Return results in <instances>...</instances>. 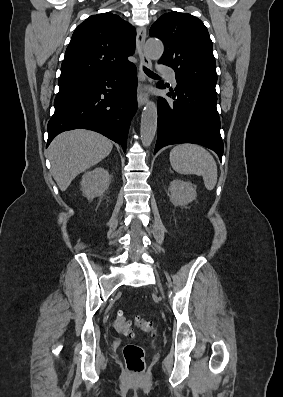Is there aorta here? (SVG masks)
Instances as JSON below:
<instances>
[{
  "instance_id": "aorta-1",
  "label": "aorta",
  "mask_w": 283,
  "mask_h": 397,
  "mask_svg": "<svg viewBox=\"0 0 283 397\" xmlns=\"http://www.w3.org/2000/svg\"><path fill=\"white\" fill-rule=\"evenodd\" d=\"M148 57L158 60L163 54V44L158 39H148L145 45ZM157 106L153 101H148L141 115V142L143 146L149 147L154 140L157 131Z\"/></svg>"
}]
</instances>
